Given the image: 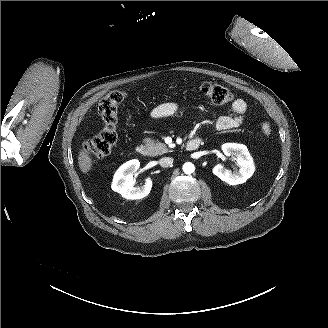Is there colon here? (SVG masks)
I'll list each match as a JSON object with an SVG mask.
<instances>
[{"mask_svg":"<svg viewBox=\"0 0 328 328\" xmlns=\"http://www.w3.org/2000/svg\"><path fill=\"white\" fill-rule=\"evenodd\" d=\"M199 92L218 105L227 104L232 100V94L227 88L210 82L202 83L199 86ZM126 97L127 94L124 91L114 90L105 95L100 101L98 113L103 127L95 137L85 142L84 150L87 153L102 158L112 151L118 140L116 130L118 108ZM261 130L265 136H269L272 132L271 125L267 122L262 124Z\"/></svg>","mask_w":328,"mask_h":328,"instance_id":"5ec220e1","label":"colon"}]
</instances>
